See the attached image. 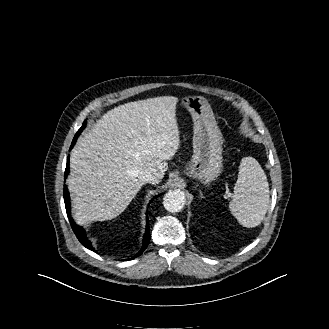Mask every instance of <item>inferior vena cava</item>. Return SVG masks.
Wrapping results in <instances>:
<instances>
[{"instance_id": "602c4592", "label": "inferior vena cava", "mask_w": 329, "mask_h": 329, "mask_svg": "<svg viewBox=\"0 0 329 329\" xmlns=\"http://www.w3.org/2000/svg\"><path fill=\"white\" fill-rule=\"evenodd\" d=\"M139 178L143 184L154 183L157 180V178L149 170L142 172Z\"/></svg>"}]
</instances>
